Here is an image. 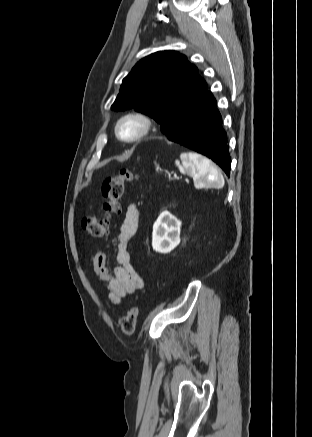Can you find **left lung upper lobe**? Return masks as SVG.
Wrapping results in <instances>:
<instances>
[{"label":"left lung upper lobe","mask_w":312,"mask_h":437,"mask_svg":"<svg viewBox=\"0 0 312 437\" xmlns=\"http://www.w3.org/2000/svg\"><path fill=\"white\" fill-rule=\"evenodd\" d=\"M211 94L187 57L160 51L140 60L123 79L114 111L134 108L160 123L162 132L175 136Z\"/></svg>","instance_id":"obj_1"}]
</instances>
